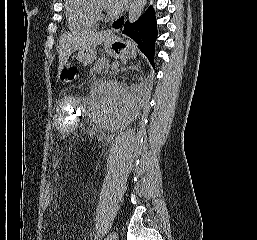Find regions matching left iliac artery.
I'll use <instances>...</instances> for the list:
<instances>
[{
    "mask_svg": "<svg viewBox=\"0 0 257 240\" xmlns=\"http://www.w3.org/2000/svg\"><path fill=\"white\" fill-rule=\"evenodd\" d=\"M98 239V237L97 236H95V239L94 240H97Z\"/></svg>",
    "mask_w": 257,
    "mask_h": 240,
    "instance_id": "1",
    "label": "left iliac artery"
}]
</instances>
